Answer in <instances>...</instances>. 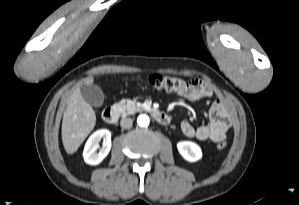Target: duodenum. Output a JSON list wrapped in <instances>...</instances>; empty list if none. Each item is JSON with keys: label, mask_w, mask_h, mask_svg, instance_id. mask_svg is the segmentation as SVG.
<instances>
[{"label": "duodenum", "mask_w": 299, "mask_h": 205, "mask_svg": "<svg viewBox=\"0 0 299 205\" xmlns=\"http://www.w3.org/2000/svg\"><path fill=\"white\" fill-rule=\"evenodd\" d=\"M153 118L160 124L166 125L170 122L169 115L161 110H150ZM103 120L109 124H114L120 117V111L116 107H106L102 112Z\"/></svg>", "instance_id": "duodenum-1"}]
</instances>
